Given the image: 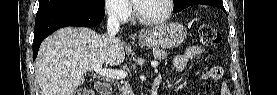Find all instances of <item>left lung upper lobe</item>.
Instances as JSON below:
<instances>
[{
    "mask_svg": "<svg viewBox=\"0 0 277 95\" xmlns=\"http://www.w3.org/2000/svg\"><path fill=\"white\" fill-rule=\"evenodd\" d=\"M200 1H203V0H174L173 11L179 12V11L183 10L184 8L191 6ZM207 1L214 2V3H222V0H207Z\"/></svg>",
    "mask_w": 277,
    "mask_h": 95,
    "instance_id": "5c2ea615",
    "label": "left lung upper lobe"
}]
</instances>
